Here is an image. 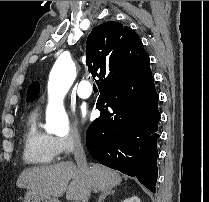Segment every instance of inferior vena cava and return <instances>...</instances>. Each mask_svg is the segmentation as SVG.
<instances>
[{
    "label": "inferior vena cava",
    "instance_id": "inferior-vena-cava-1",
    "mask_svg": "<svg viewBox=\"0 0 209 202\" xmlns=\"http://www.w3.org/2000/svg\"><path fill=\"white\" fill-rule=\"evenodd\" d=\"M74 158H75L79 173L86 179V194H87L86 201H87L91 195V185L89 182V168L87 165L83 146L79 139L75 141Z\"/></svg>",
    "mask_w": 209,
    "mask_h": 202
}]
</instances>
